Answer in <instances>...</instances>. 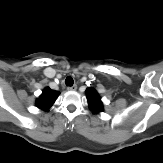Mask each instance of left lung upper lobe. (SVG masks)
<instances>
[{"label": "left lung upper lobe", "instance_id": "left-lung-upper-lobe-1", "mask_svg": "<svg viewBox=\"0 0 163 163\" xmlns=\"http://www.w3.org/2000/svg\"><path fill=\"white\" fill-rule=\"evenodd\" d=\"M86 97L89 103V108L94 113H99L103 111V104H102L101 98L95 89L88 88L86 90Z\"/></svg>", "mask_w": 163, "mask_h": 163}]
</instances>
